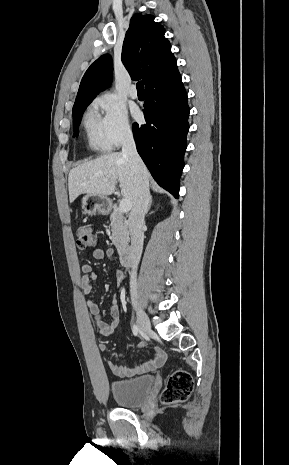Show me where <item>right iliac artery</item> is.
Here are the masks:
<instances>
[{"label":"right iliac artery","mask_w":289,"mask_h":465,"mask_svg":"<svg viewBox=\"0 0 289 465\" xmlns=\"http://www.w3.org/2000/svg\"><path fill=\"white\" fill-rule=\"evenodd\" d=\"M132 332H133L134 336L138 335L139 327L137 326V324H133Z\"/></svg>","instance_id":"obj_1"}]
</instances>
